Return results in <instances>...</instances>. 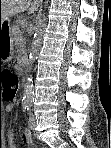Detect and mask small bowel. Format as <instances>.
<instances>
[{"label": "small bowel", "mask_w": 111, "mask_h": 148, "mask_svg": "<svg viewBox=\"0 0 111 148\" xmlns=\"http://www.w3.org/2000/svg\"><path fill=\"white\" fill-rule=\"evenodd\" d=\"M13 108H14V104H9L6 107V110L8 112H11L13 110ZM7 137H8V140L10 141V145L8 147L9 148H16V145L13 143V139H14L13 131H9L7 134ZM24 137H25V141L28 144H32V133L30 131H26Z\"/></svg>", "instance_id": "obj_1"}]
</instances>
